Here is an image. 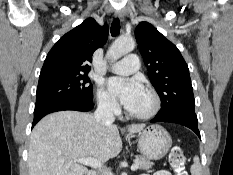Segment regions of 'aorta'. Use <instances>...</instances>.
<instances>
[{"mask_svg": "<svg viewBox=\"0 0 233 175\" xmlns=\"http://www.w3.org/2000/svg\"><path fill=\"white\" fill-rule=\"evenodd\" d=\"M135 48V42L132 39H118L116 40L107 52V57L111 62L117 61L125 54L133 51Z\"/></svg>", "mask_w": 233, "mask_h": 175, "instance_id": "obj_1", "label": "aorta"}]
</instances>
